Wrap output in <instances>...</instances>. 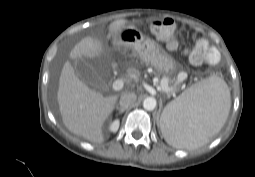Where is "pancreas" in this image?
<instances>
[{"mask_svg":"<svg viewBox=\"0 0 255 177\" xmlns=\"http://www.w3.org/2000/svg\"><path fill=\"white\" fill-rule=\"evenodd\" d=\"M163 85L168 86L171 89L170 92L176 91L175 80H171L167 77H163L161 82H160V86L162 87Z\"/></svg>","mask_w":255,"mask_h":177,"instance_id":"obj_1","label":"pancreas"}]
</instances>
